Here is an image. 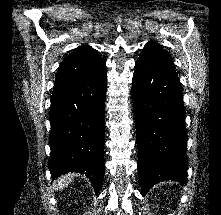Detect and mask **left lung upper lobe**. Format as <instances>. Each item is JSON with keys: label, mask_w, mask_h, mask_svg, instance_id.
Listing matches in <instances>:
<instances>
[{"label": "left lung upper lobe", "mask_w": 221, "mask_h": 215, "mask_svg": "<svg viewBox=\"0 0 221 215\" xmlns=\"http://www.w3.org/2000/svg\"><path fill=\"white\" fill-rule=\"evenodd\" d=\"M138 60L174 69V63L170 55L165 50H163L158 43L154 41H150L144 46Z\"/></svg>", "instance_id": "obj_1"}]
</instances>
